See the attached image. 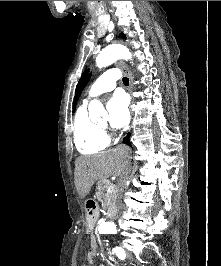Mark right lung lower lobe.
Instances as JSON below:
<instances>
[{"label": "right lung lower lobe", "instance_id": "98d812e1", "mask_svg": "<svg viewBox=\"0 0 221 266\" xmlns=\"http://www.w3.org/2000/svg\"><path fill=\"white\" fill-rule=\"evenodd\" d=\"M129 137H130V133H128L127 136L124 138V143L127 144V145H131Z\"/></svg>", "mask_w": 221, "mask_h": 266}]
</instances>
